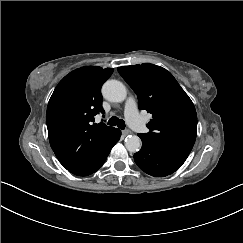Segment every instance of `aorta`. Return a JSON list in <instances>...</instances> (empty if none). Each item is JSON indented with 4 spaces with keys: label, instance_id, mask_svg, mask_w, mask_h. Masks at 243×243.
Masks as SVG:
<instances>
[{
    "label": "aorta",
    "instance_id": "762f6f07",
    "mask_svg": "<svg viewBox=\"0 0 243 243\" xmlns=\"http://www.w3.org/2000/svg\"><path fill=\"white\" fill-rule=\"evenodd\" d=\"M102 93L105 99L121 103L127 97V88L120 81L109 80L104 84ZM125 146L129 152H137L141 148V140L137 135H128L125 140Z\"/></svg>",
    "mask_w": 243,
    "mask_h": 243
}]
</instances>
